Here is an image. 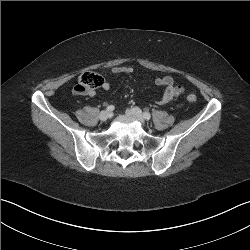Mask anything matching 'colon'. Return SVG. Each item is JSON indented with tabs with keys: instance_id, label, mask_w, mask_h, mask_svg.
I'll list each match as a JSON object with an SVG mask.
<instances>
[{
	"instance_id": "obj_1",
	"label": "colon",
	"mask_w": 250,
	"mask_h": 250,
	"mask_svg": "<svg viewBox=\"0 0 250 250\" xmlns=\"http://www.w3.org/2000/svg\"><path fill=\"white\" fill-rule=\"evenodd\" d=\"M103 78L95 72H85L79 76L78 82L74 87V92L77 94H87L88 92L101 87ZM189 103H195L197 97L194 94L187 96Z\"/></svg>"
}]
</instances>
